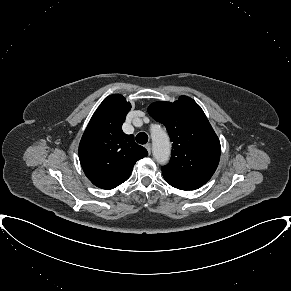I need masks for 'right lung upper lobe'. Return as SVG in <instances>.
<instances>
[{
    "label": "right lung upper lobe",
    "mask_w": 291,
    "mask_h": 291,
    "mask_svg": "<svg viewBox=\"0 0 291 291\" xmlns=\"http://www.w3.org/2000/svg\"><path fill=\"white\" fill-rule=\"evenodd\" d=\"M131 104L120 94L103 100L93 114L79 145V159L87 178L97 187L113 189L125 182L137 160L148 155L133 135L122 131Z\"/></svg>",
    "instance_id": "1"
}]
</instances>
